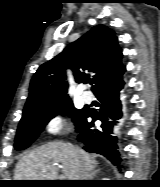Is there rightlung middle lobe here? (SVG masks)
<instances>
[{"mask_svg": "<svg viewBox=\"0 0 160 187\" xmlns=\"http://www.w3.org/2000/svg\"><path fill=\"white\" fill-rule=\"evenodd\" d=\"M61 110H63L65 114L70 115L76 125L86 111L85 108L81 110L75 109L72 102L67 100L44 110L23 113L15 138L16 150L27 148L36 139L39 133L42 132L50 119L58 115Z\"/></svg>", "mask_w": 160, "mask_h": 187, "instance_id": "right-lung-middle-lobe-1", "label": "right lung middle lobe"}]
</instances>
